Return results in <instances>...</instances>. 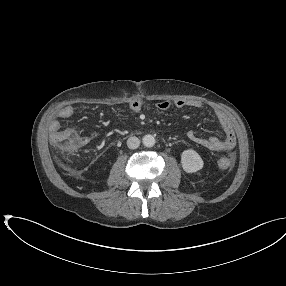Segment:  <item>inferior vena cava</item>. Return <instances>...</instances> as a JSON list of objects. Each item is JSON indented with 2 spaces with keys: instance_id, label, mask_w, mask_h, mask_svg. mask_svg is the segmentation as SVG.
<instances>
[{
  "instance_id": "1",
  "label": "inferior vena cava",
  "mask_w": 286,
  "mask_h": 286,
  "mask_svg": "<svg viewBox=\"0 0 286 286\" xmlns=\"http://www.w3.org/2000/svg\"><path fill=\"white\" fill-rule=\"evenodd\" d=\"M140 145V140L135 137V136H132V137H129L128 140H127V146L128 148L130 149H136L138 148Z\"/></svg>"
}]
</instances>
